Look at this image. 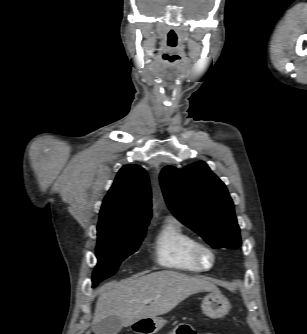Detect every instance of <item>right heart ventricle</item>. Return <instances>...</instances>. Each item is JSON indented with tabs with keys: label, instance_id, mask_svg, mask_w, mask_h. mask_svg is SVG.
I'll use <instances>...</instances> for the list:
<instances>
[{
	"label": "right heart ventricle",
	"instance_id": "obj_1",
	"mask_svg": "<svg viewBox=\"0 0 307 334\" xmlns=\"http://www.w3.org/2000/svg\"><path fill=\"white\" fill-rule=\"evenodd\" d=\"M196 238L173 218L166 219L156 231L152 250L155 262L164 268L199 273L204 271L193 259Z\"/></svg>",
	"mask_w": 307,
	"mask_h": 334
}]
</instances>
